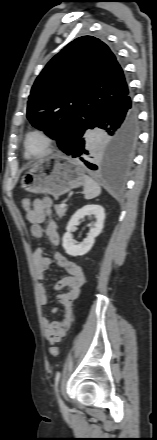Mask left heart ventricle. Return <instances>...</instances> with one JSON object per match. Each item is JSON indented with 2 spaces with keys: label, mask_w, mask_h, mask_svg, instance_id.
<instances>
[{
  "label": "left heart ventricle",
  "mask_w": 157,
  "mask_h": 440,
  "mask_svg": "<svg viewBox=\"0 0 157 440\" xmlns=\"http://www.w3.org/2000/svg\"><path fill=\"white\" fill-rule=\"evenodd\" d=\"M46 149L45 140L39 135H32L28 139V150L31 154H40Z\"/></svg>",
  "instance_id": "obj_1"
}]
</instances>
